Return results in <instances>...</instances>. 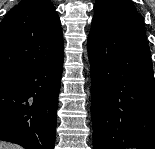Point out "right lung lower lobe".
Instances as JSON below:
<instances>
[{"label": "right lung lower lobe", "mask_w": 155, "mask_h": 149, "mask_svg": "<svg viewBox=\"0 0 155 149\" xmlns=\"http://www.w3.org/2000/svg\"><path fill=\"white\" fill-rule=\"evenodd\" d=\"M63 55L0 85V140L54 149Z\"/></svg>", "instance_id": "right-lung-lower-lobe-1"}]
</instances>
